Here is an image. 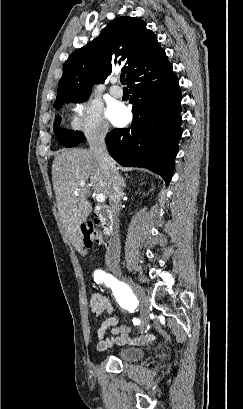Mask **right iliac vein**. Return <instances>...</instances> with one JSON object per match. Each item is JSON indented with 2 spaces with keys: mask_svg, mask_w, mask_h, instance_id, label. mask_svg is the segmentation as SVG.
I'll list each match as a JSON object with an SVG mask.
<instances>
[{
  "mask_svg": "<svg viewBox=\"0 0 243 409\" xmlns=\"http://www.w3.org/2000/svg\"><path fill=\"white\" fill-rule=\"evenodd\" d=\"M118 275L122 280H124L131 287L136 297L138 298L140 302L141 327H144L145 325H147L149 321V311H148V306H147L146 294L143 291V289L138 284H136L131 278H128L121 273H118Z\"/></svg>",
  "mask_w": 243,
  "mask_h": 409,
  "instance_id": "right-iliac-vein-1",
  "label": "right iliac vein"
}]
</instances>
